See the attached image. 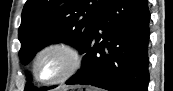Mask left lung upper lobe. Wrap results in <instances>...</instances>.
Listing matches in <instances>:
<instances>
[{"label": "left lung upper lobe", "instance_id": "1", "mask_svg": "<svg viewBox=\"0 0 173 91\" xmlns=\"http://www.w3.org/2000/svg\"><path fill=\"white\" fill-rule=\"evenodd\" d=\"M107 1L27 0L18 31L21 62L28 64L38 50L57 42L73 45L83 53ZM34 90L27 82L25 91Z\"/></svg>", "mask_w": 173, "mask_h": 91}]
</instances>
